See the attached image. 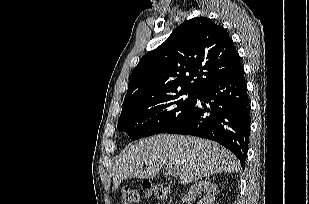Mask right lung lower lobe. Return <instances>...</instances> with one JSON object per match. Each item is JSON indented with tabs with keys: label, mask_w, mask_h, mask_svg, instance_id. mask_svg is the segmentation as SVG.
Here are the masks:
<instances>
[{
	"label": "right lung lower lobe",
	"mask_w": 309,
	"mask_h": 204,
	"mask_svg": "<svg viewBox=\"0 0 309 204\" xmlns=\"http://www.w3.org/2000/svg\"><path fill=\"white\" fill-rule=\"evenodd\" d=\"M197 99L204 102L202 106H196L195 102L193 108L166 132L214 140L233 152L244 166L251 120L243 67L209 84L198 93Z\"/></svg>",
	"instance_id": "right-lung-lower-lobe-1"
}]
</instances>
